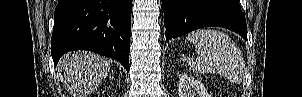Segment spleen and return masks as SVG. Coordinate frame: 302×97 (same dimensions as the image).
I'll use <instances>...</instances> for the list:
<instances>
[{"mask_svg":"<svg viewBox=\"0 0 302 97\" xmlns=\"http://www.w3.org/2000/svg\"><path fill=\"white\" fill-rule=\"evenodd\" d=\"M186 40L195 46L197 58L189 59L194 73L218 74L233 83H241L245 75L242 52L234 41L221 31L198 29Z\"/></svg>","mask_w":302,"mask_h":97,"instance_id":"1","label":"spleen"}]
</instances>
